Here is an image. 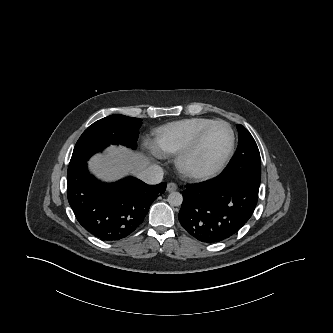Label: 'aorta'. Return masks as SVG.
Here are the masks:
<instances>
[{
    "mask_svg": "<svg viewBox=\"0 0 333 333\" xmlns=\"http://www.w3.org/2000/svg\"><path fill=\"white\" fill-rule=\"evenodd\" d=\"M182 201L183 197L179 192H171L168 196V202L172 206H180Z\"/></svg>",
    "mask_w": 333,
    "mask_h": 333,
    "instance_id": "1",
    "label": "aorta"
}]
</instances>
